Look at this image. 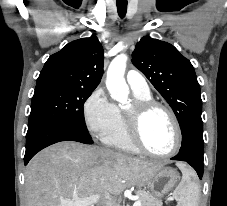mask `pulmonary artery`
<instances>
[{
	"label": "pulmonary artery",
	"mask_w": 227,
	"mask_h": 206,
	"mask_svg": "<svg viewBox=\"0 0 227 206\" xmlns=\"http://www.w3.org/2000/svg\"><path fill=\"white\" fill-rule=\"evenodd\" d=\"M126 81L133 92L148 93V84L141 73L136 70H129L126 74Z\"/></svg>",
	"instance_id": "e3ab8cb5"
}]
</instances>
